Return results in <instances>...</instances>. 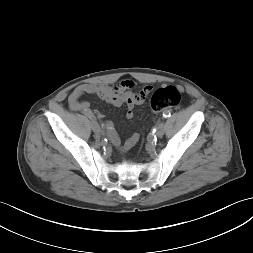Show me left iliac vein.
I'll return each instance as SVG.
<instances>
[{
  "label": "left iliac vein",
  "mask_w": 253,
  "mask_h": 253,
  "mask_svg": "<svg viewBox=\"0 0 253 253\" xmlns=\"http://www.w3.org/2000/svg\"><path fill=\"white\" fill-rule=\"evenodd\" d=\"M165 132V125L163 122H161L158 126H157V132L156 135L158 138H161L164 135Z\"/></svg>",
  "instance_id": "1"
}]
</instances>
